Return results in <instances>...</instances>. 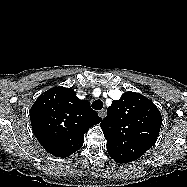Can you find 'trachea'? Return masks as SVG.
Listing matches in <instances>:
<instances>
[{
	"instance_id": "obj_1",
	"label": "trachea",
	"mask_w": 187,
	"mask_h": 187,
	"mask_svg": "<svg viewBox=\"0 0 187 187\" xmlns=\"http://www.w3.org/2000/svg\"><path fill=\"white\" fill-rule=\"evenodd\" d=\"M92 108L94 110H101L103 108V102L101 100H95L93 103H92Z\"/></svg>"
}]
</instances>
